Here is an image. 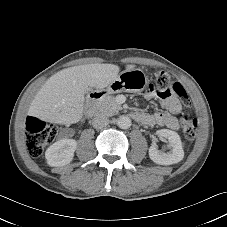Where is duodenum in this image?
Instances as JSON below:
<instances>
[{
	"label": "duodenum",
	"instance_id": "410a0bca",
	"mask_svg": "<svg viewBox=\"0 0 227 227\" xmlns=\"http://www.w3.org/2000/svg\"><path fill=\"white\" fill-rule=\"evenodd\" d=\"M105 95V91H95L89 95L85 103V112L87 115L92 116L96 111L98 101ZM130 116L137 122L141 123L143 114L140 112H131Z\"/></svg>",
	"mask_w": 227,
	"mask_h": 227
}]
</instances>
